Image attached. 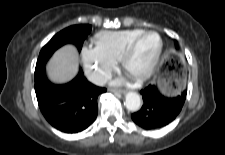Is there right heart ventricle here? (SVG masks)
Returning <instances> with one entry per match:
<instances>
[{
	"label": "right heart ventricle",
	"mask_w": 225,
	"mask_h": 155,
	"mask_svg": "<svg viewBox=\"0 0 225 155\" xmlns=\"http://www.w3.org/2000/svg\"><path fill=\"white\" fill-rule=\"evenodd\" d=\"M143 31L142 29H126L99 32L94 37L95 48L102 55L119 61L128 43Z\"/></svg>",
	"instance_id": "right-heart-ventricle-1"
}]
</instances>
